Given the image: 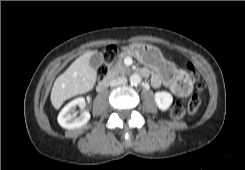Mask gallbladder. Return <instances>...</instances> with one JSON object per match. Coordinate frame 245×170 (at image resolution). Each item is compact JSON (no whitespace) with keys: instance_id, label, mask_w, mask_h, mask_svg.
I'll use <instances>...</instances> for the list:
<instances>
[{"instance_id":"bac80fb5","label":"gallbladder","mask_w":245,"mask_h":170,"mask_svg":"<svg viewBox=\"0 0 245 170\" xmlns=\"http://www.w3.org/2000/svg\"><path fill=\"white\" fill-rule=\"evenodd\" d=\"M104 62L102 53L95 51L89 59V64L92 68L98 69Z\"/></svg>"}]
</instances>
